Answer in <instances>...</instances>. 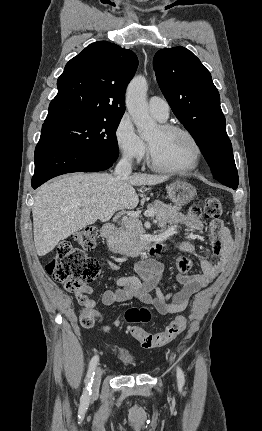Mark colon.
<instances>
[{
  "mask_svg": "<svg viewBox=\"0 0 262 431\" xmlns=\"http://www.w3.org/2000/svg\"><path fill=\"white\" fill-rule=\"evenodd\" d=\"M192 210L197 211V208L194 207ZM222 211V203L216 196L208 198L203 207L205 217L211 220L218 219ZM96 247V228L87 227L75 233L71 240L64 241L58 247L57 253L46 264V271L54 280L62 284L66 291H79L99 274V263L86 256L82 251V249L91 250ZM150 318V312L146 308H131L125 313L127 330L146 348H154L169 343L179 336L187 325L186 317L180 315L163 331L150 333L138 325L140 322L149 321ZM80 322L83 327L89 328L94 326L96 318L88 312H84L80 315Z\"/></svg>",
  "mask_w": 262,
  "mask_h": 431,
  "instance_id": "1",
  "label": "colon"
}]
</instances>
